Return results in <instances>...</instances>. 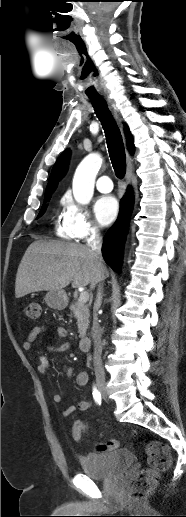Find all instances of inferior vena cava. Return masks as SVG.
<instances>
[{
	"label": "inferior vena cava",
	"mask_w": 186,
	"mask_h": 517,
	"mask_svg": "<svg viewBox=\"0 0 186 517\" xmlns=\"http://www.w3.org/2000/svg\"><path fill=\"white\" fill-rule=\"evenodd\" d=\"M102 237L100 235L98 227L94 228V231L92 232V235L87 240V246L90 248L92 254L97 259V264L99 267L102 268V257H101V246H102ZM105 280V277L102 276L98 281V289H97V295L96 300L94 303V310H93V325H92V338L94 342V356H93V364H94V371L95 376L97 380H105V372L102 364V330L100 328L99 322H98V314L97 310L101 305L102 301V291H103V282Z\"/></svg>",
	"instance_id": "602c4592"
}]
</instances>
